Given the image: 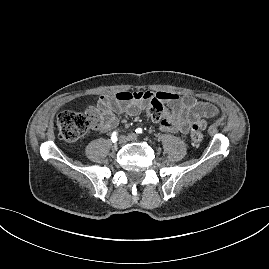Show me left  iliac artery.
Segmentation results:
<instances>
[{
    "label": "left iliac artery",
    "instance_id": "1",
    "mask_svg": "<svg viewBox=\"0 0 269 269\" xmlns=\"http://www.w3.org/2000/svg\"><path fill=\"white\" fill-rule=\"evenodd\" d=\"M135 131H136V133H138V134H142V133H143L142 128H137Z\"/></svg>",
    "mask_w": 269,
    "mask_h": 269
}]
</instances>
